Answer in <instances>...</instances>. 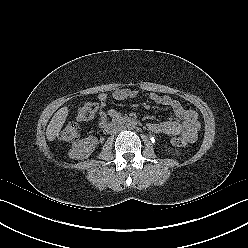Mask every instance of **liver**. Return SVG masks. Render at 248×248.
Returning <instances> with one entry per match:
<instances>
[{
    "instance_id": "6515ba94",
    "label": "liver",
    "mask_w": 248,
    "mask_h": 248,
    "mask_svg": "<svg viewBox=\"0 0 248 248\" xmlns=\"http://www.w3.org/2000/svg\"><path fill=\"white\" fill-rule=\"evenodd\" d=\"M67 116L68 107H62L54 114L46 129V136L49 141H53L59 135Z\"/></svg>"
}]
</instances>
